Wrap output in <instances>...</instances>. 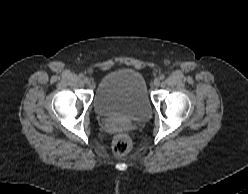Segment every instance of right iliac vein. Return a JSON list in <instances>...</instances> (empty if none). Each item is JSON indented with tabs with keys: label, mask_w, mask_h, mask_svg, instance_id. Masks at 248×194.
<instances>
[{
	"label": "right iliac vein",
	"mask_w": 248,
	"mask_h": 194,
	"mask_svg": "<svg viewBox=\"0 0 248 194\" xmlns=\"http://www.w3.org/2000/svg\"><path fill=\"white\" fill-rule=\"evenodd\" d=\"M83 82L87 84V83H89V79L87 77H84Z\"/></svg>",
	"instance_id": "1"
}]
</instances>
